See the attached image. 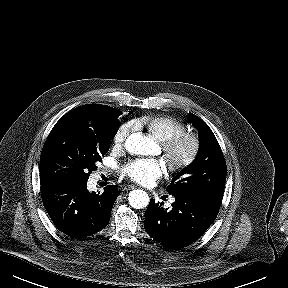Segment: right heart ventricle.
Instances as JSON below:
<instances>
[{
	"mask_svg": "<svg viewBox=\"0 0 288 288\" xmlns=\"http://www.w3.org/2000/svg\"><path fill=\"white\" fill-rule=\"evenodd\" d=\"M134 123L139 128H145L160 142L185 130L182 121L169 115L144 116L135 120Z\"/></svg>",
	"mask_w": 288,
	"mask_h": 288,
	"instance_id": "obj_1",
	"label": "right heart ventricle"
}]
</instances>
